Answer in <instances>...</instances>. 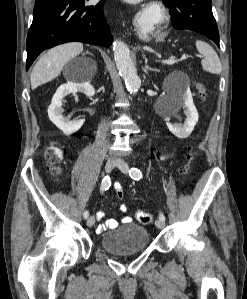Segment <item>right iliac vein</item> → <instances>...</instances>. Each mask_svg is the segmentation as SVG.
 I'll list each match as a JSON object with an SVG mask.
<instances>
[{
	"mask_svg": "<svg viewBox=\"0 0 247 299\" xmlns=\"http://www.w3.org/2000/svg\"><path fill=\"white\" fill-rule=\"evenodd\" d=\"M117 163V160L115 158H109L105 164V171L106 173H109L112 171V169L115 167ZM95 223V217L94 216H90L87 219V226L88 227H92Z\"/></svg>",
	"mask_w": 247,
	"mask_h": 299,
	"instance_id": "right-iliac-vein-1",
	"label": "right iliac vein"
}]
</instances>
